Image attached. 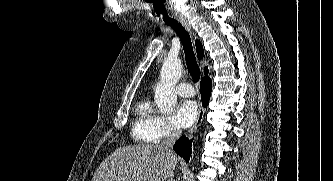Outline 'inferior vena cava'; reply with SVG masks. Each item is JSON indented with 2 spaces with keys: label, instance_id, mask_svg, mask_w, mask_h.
Masks as SVG:
<instances>
[{
  "label": "inferior vena cava",
  "instance_id": "1",
  "mask_svg": "<svg viewBox=\"0 0 333 181\" xmlns=\"http://www.w3.org/2000/svg\"><path fill=\"white\" fill-rule=\"evenodd\" d=\"M181 129L178 127H174L167 138L161 143V146L167 150L170 154L174 155L171 148L173 147L176 140L181 136ZM167 181H174V172L173 170L170 171Z\"/></svg>",
  "mask_w": 333,
  "mask_h": 181
}]
</instances>
